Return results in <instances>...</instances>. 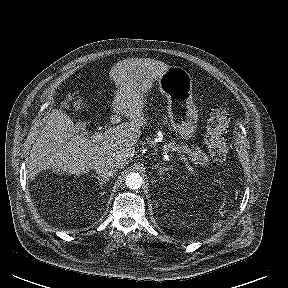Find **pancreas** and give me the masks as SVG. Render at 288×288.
<instances>
[{"label":"pancreas","mask_w":288,"mask_h":288,"mask_svg":"<svg viewBox=\"0 0 288 288\" xmlns=\"http://www.w3.org/2000/svg\"><path fill=\"white\" fill-rule=\"evenodd\" d=\"M167 147L169 150L181 151L187 154L191 161L200 166H206L209 162L208 156L198 147L190 149L187 145L176 144L175 141L169 142Z\"/></svg>","instance_id":"obj_1"}]
</instances>
